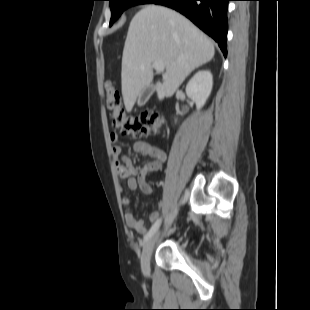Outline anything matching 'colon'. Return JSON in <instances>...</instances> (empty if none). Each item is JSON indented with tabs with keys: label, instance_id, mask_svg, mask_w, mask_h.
Masks as SVG:
<instances>
[{
	"label": "colon",
	"instance_id": "5ec220e1",
	"mask_svg": "<svg viewBox=\"0 0 310 310\" xmlns=\"http://www.w3.org/2000/svg\"><path fill=\"white\" fill-rule=\"evenodd\" d=\"M105 98L110 110L112 124L122 134L142 137L157 133L162 126V117L156 111H145L139 114L127 113L122 107L120 93L112 82L105 84Z\"/></svg>",
	"mask_w": 310,
	"mask_h": 310
}]
</instances>
